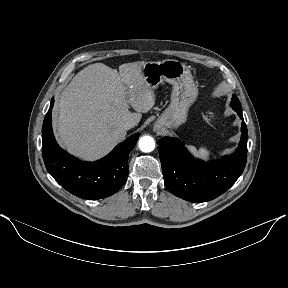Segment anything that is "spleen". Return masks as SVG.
<instances>
[{
    "label": "spleen",
    "instance_id": "spleen-1",
    "mask_svg": "<svg viewBox=\"0 0 288 288\" xmlns=\"http://www.w3.org/2000/svg\"><path fill=\"white\" fill-rule=\"evenodd\" d=\"M189 151L196 157H200L202 159H208L210 156V151L206 147H201L197 150L194 146H187Z\"/></svg>",
    "mask_w": 288,
    "mask_h": 288
}]
</instances>
